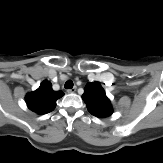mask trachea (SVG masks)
<instances>
[{"mask_svg": "<svg viewBox=\"0 0 163 163\" xmlns=\"http://www.w3.org/2000/svg\"><path fill=\"white\" fill-rule=\"evenodd\" d=\"M66 89H72L73 88V82L71 80H68L66 83H65V86H64Z\"/></svg>", "mask_w": 163, "mask_h": 163, "instance_id": "3493384b", "label": "trachea"}]
</instances>
